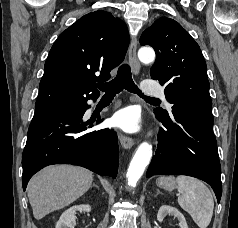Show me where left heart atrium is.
<instances>
[{
    "instance_id": "1",
    "label": "left heart atrium",
    "mask_w": 238,
    "mask_h": 228,
    "mask_svg": "<svg viewBox=\"0 0 238 228\" xmlns=\"http://www.w3.org/2000/svg\"><path fill=\"white\" fill-rule=\"evenodd\" d=\"M113 124L126 132H136L140 129V114L134 107L119 110L113 116Z\"/></svg>"
}]
</instances>
